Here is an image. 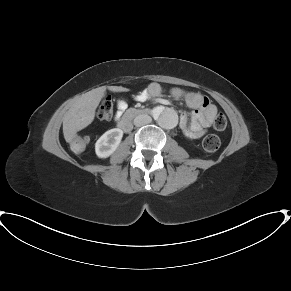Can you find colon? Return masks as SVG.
<instances>
[{
    "label": "colon",
    "instance_id": "1",
    "mask_svg": "<svg viewBox=\"0 0 291 291\" xmlns=\"http://www.w3.org/2000/svg\"><path fill=\"white\" fill-rule=\"evenodd\" d=\"M113 114V100L110 96H106L99 105L97 116L102 121H107ZM227 126V118L223 113L216 115L214 120V127L217 130H224ZM220 139L214 134H208L203 139V148L207 152H215L220 147ZM85 145L82 140L73 143V148L77 151H82Z\"/></svg>",
    "mask_w": 291,
    "mask_h": 291
}]
</instances>
